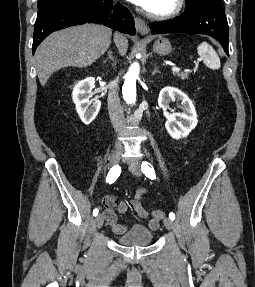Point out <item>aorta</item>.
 Returning <instances> with one entry per match:
<instances>
[{
    "instance_id": "aorta-1",
    "label": "aorta",
    "mask_w": 255,
    "mask_h": 287,
    "mask_svg": "<svg viewBox=\"0 0 255 287\" xmlns=\"http://www.w3.org/2000/svg\"><path fill=\"white\" fill-rule=\"evenodd\" d=\"M140 66L137 62L133 63L125 75L122 87L123 98L128 104L136 103V80L139 77Z\"/></svg>"
}]
</instances>
